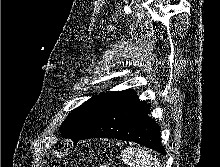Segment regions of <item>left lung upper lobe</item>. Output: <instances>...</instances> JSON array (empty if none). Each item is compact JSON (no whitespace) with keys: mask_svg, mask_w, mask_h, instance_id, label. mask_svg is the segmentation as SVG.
<instances>
[{"mask_svg":"<svg viewBox=\"0 0 220 167\" xmlns=\"http://www.w3.org/2000/svg\"><path fill=\"white\" fill-rule=\"evenodd\" d=\"M122 91L103 92L94 95L81 106L74 109L64 120L61 133L64 138L77 141L83 137L92 125L97 121L107 106Z\"/></svg>","mask_w":220,"mask_h":167,"instance_id":"5c2ea615","label":"left lung upper lobe"}]
</instances>
